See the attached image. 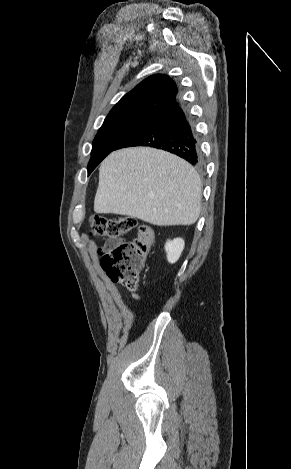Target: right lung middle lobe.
Wrapping results in <instances>:
<instances>
[{"label":"right lung middle lobe","instance_id":"right-lung-middle-lobe-1","mask_svg":"<svg viewBox=\"0 0 291 469\" xmlns=\"http://www.w3.org/2000/svg\"><path fill=\"white\" fill-rule=\"evenodd\" d=\"M152 114L127 111L109 114L99 129L92 147L88 174L128 135L142 125Z\"/></svg>","mask_w":291,"mask_h":469}]
</instances>
